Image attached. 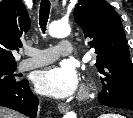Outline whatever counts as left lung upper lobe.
Here are the masks:
<instances>
[{"instance_id":"5c2ea615","label":"left lung upper lobe","mask_w":133,"mask_h":118,"mask_svg":"<svg viewBox=\"0 0 133 118\" xmlns=\"http://www.w3.org/2000/svg\"><path fill=\"white\" fill-rule=\"evenodd\" d=\"M74 19L97 54L103 84L99 102L133 111V66L117 12L105 0H79Z\"/></svg>"}]
</instances>
